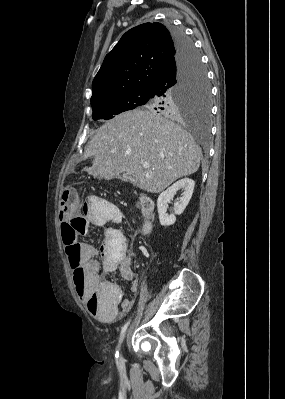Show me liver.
Instances as JSON below:
<instances>
[{
    "mask_svg": "<svg viewBox=\"0 0 285 399\" xmlns=\"http://www.w3.org/2000/svg\"><path fill=\"white\" fill-rule=\"evenodd\" d=\"M202 152L190 133L155 111L121 113L104 125L87 146L83 158H94V177L112 179L122 173L137 187L159 193L177 179L195 173ZM148 163L149 168H143Z\"/></svg>",
    "mask_w": 285,
    "mask_h": 399,
    "instance_id": "1",
    "label": "liver"
}]
</instances>
